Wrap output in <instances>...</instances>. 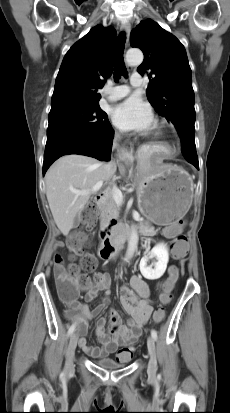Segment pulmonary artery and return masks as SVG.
<instances>
[{"label": "pulmonary artery", "instance_id": "e3ab8cb5", "mask_svg": "<svg viewBox=\"0 0 230 413\" xmlns=\"http://www.w3.org/2000/svg\"><path fill=\"white\" fill-rule=\"evenodd\" d=\"M130 84L133 87H137L143 84V79L140 74L134 73L130 77ZM109 94V100L110 101H116L119 100L125 96H127L130 92V87L127 85H120L113 87L111 89L107 90Z\"/></svg>", "mask_w": 230, "mask_h": 413}]
</instances>
